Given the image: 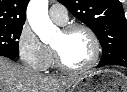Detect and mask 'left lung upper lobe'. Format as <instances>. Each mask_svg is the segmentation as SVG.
I'll return each mask as SVG.
<instances>
[{
  "label": "left lung upper lobe",
  "instance_id": "left-lung-upper-lobe-1",
  "mask_svg": "<svg viewBox=\"0 0 127 92\" xmlns=\"http://www.w3.org/2000/svg\"><path fill=\"white\" fill-rule=\"evenodd\" d=\"M98 37L102 57L127 48V20L119 0H59Z\"/></svg>",
  "mask_w": 127,
  "mask_h": 92
}]
</instances>
